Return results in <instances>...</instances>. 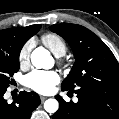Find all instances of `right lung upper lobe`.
Returning a JSON list of instances; mask_svg holds the SVG:
<instances>
[{
    "label": "right lung upper lobe",
    "instance_id": "right-lung-upper-lobe-1",
    "mask_svg": "<svg viewBox=\"0 0 119 119\" xmlns=\"http://www.w3.org/2000/svg\"><path fill=\"white\" fill-rule=\"evenodd\" d=\"M41 25L0 30V52L20 53L25 42L35 35Z\"/></svg>",
    "mask_w": 119,
    "mask_h": 119
}]
</instances>
